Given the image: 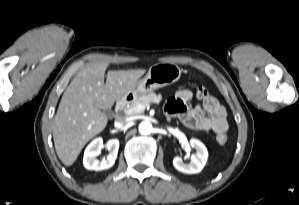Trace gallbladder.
<instances>
[{"instance_id":"obj_1","label":"gallbladder","mask_w":299,"mask_h":205,"mask_svg":"<svg viewBox=\"0 0 299 205\" xmlns=\"http://www.w3.org/2000/svg\"><path fill=\"white\" fill-rule=\"evenodd\" d=\"M103 112H104V114H106V115H110V114H111V110H110V109L104 110Z\"/></svg>"}]
</instances>
